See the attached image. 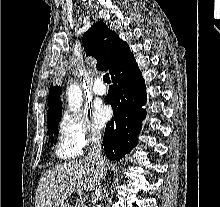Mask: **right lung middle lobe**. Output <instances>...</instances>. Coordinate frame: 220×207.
<instances>
[{"instance_id": "obj_1", "label": "right lung middle lobe", "mask_w": 220, "mask_h": 207, "mask_svg": "<svg viewBox=\"0 0 220 207\" xmlns=\"http://www.w3.org/2000/svg\"><path fill=\"white\" fill-rule=\"evenodd\" d=\"M61 115H62V109L57 114H55L51 119L47 120L49 127L47 132L48 135L55 133L57 131L58 124L61 120Z\"/></svg>"}]
</instances>
